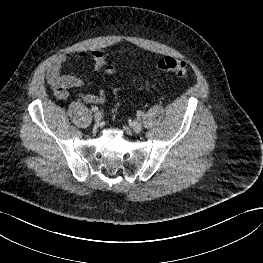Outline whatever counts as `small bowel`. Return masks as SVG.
<instances>
[{
	"instance_id": "1",
	"label": "small bowel",
	"mask_w": 263,
	"mask_h": 263,
	"mask_svg": "<svg viewBox=\"0 0 263 263\" xmlns=\"http://www.w3.org/2000/svg\"><path fill=\"white\" fill-rule=\"evenodd\" d=\"M88 58L94 62L96 70L100 69L105 63L104 53L99 49L90 52L72 51L63 53L52 61L47 70L46 79L58 99L65 100L69 96V90L80 89L83 85L82 80L75 75H62L63 65L69 61ZM78 97L88 104H100L105 101L106 95L103 90H100L95 94L79 92Z\"/></svg>"
}]
</instances>
